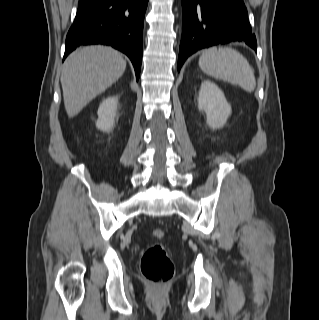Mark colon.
I'll return each mask as SVG.
<instances>
[{"label":"colon","instance_id":"1","mask_svg":"<svg viewBox=\"0 0 319 320\" xmlns=\"http://www.w3.org/2000/svg\"><path fill=\"white\" fill-rule=\"evenodd\" d=\"M151 234L156 239H163L165 236L162 229H154ZM140 268L145 279L157 285L169 281L175 270L165 246L161 243L152 244L145 250Z\"/></svg>","mask_w":319,"mask_h":320}]
</instances>
